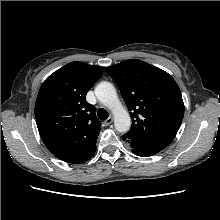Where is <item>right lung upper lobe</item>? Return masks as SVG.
<instances>
[{
	"mask_svg": "<svg viewBox=\"0 0 220 220\" xmlns=\"http://www.w3.org/2000/svg\"><path fill=\"white\" fill-rule=\"evenodd\" d=\"M103 73V67L71 62L42 84L35 103L40 136L57 158L79 164L96 149L100 131L95 108L86 94Z\"/></svg>",
	"mask_w": 220,
	"mask_h": 220,
	"instance_id": "cb5924a9",
	"label": "right lung upper lobe"
}]
</instances>
